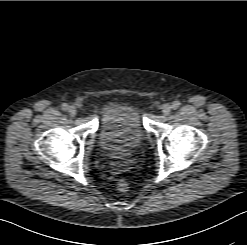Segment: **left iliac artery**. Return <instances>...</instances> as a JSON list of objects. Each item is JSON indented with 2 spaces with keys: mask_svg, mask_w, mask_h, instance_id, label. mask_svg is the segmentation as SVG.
I'll list each match as a JSON object with an SVG mask.
<instances>
[{
  "mask_svg": "<svg viewBox=\"0 0 247 245\" xmlns=\"http://www.w3.org/2000/svg\"><path fill=\"white\" fill-rule=\"evenodd\" d=\"M179 105H180V103H179L178 101H174V102L172 103V108H173L174 110H176V109L179 108Z\"/></svg>",
  "mask_w": 247,
  "mask_h": 245,
  "instance_id": "left-iliac-artery-1",
  "label": "left iliac artery"
}]
</instances>
